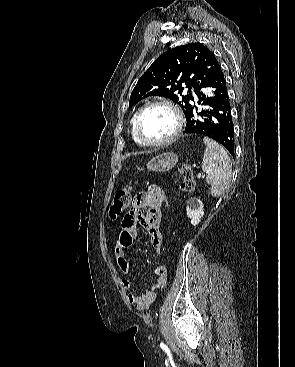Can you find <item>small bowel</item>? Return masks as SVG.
Segmentation results:
<instances>
[{
	"mask_svg": "<svg viewBox=\"0 0 295 367\" xmlns=\"http://www.w3.org/2000/svg\"><path fill=\"white\" fill-rule=\"evenodd\" d=\"M164 195V191L160 187L153 185L147 191H142L135 196L130 212L123 219L114 248L117 265L123 273H128L130 270V264L125 254L127 245L124 243L123 237L128 235L130 240L133 239L137 235L138 225L142 226L150 236L153 248L158 253L161 252L163 240L160 225ZM154 274L156 280L149 289L142 293L130 292L127 295L128 301L135 305L137 310L148 309L156 300V291L166 286V267L157 266L154 269ZM122 286L126 290L130 289L131 281L126 277L122 278Z\"/></svg>",
	"mask_w": 295,
	"mask_h": 367,
	"instance_id": "c3829d8e",
	"label": "small bowel"
}]
</instances>
